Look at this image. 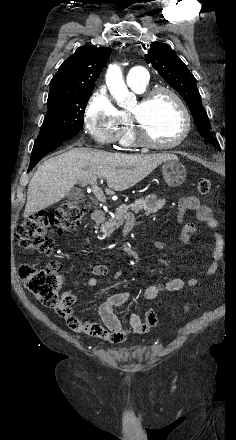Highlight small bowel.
I'll list each match as a JSON object with an SVG mask.
<instances>
[{
  "label": "small bowel",
  "instance_id": "1",
  "mask_svg": "<svg viewBox=\"0 0 236 440\" xmlns=\"http://www.w3.org/2000/svg\"><path fill=\"white\" fill-rule=\"evenodd\" d=\"M178 210L180 220L187 211H194L199 221L205 223L210 229H216L218 222L213 217L210 208L194 196L181 197L178 201ZM196 233V228L193 223H184L179 239L183 244H188L191 238ZM215 247L213 251L214 258L218 259L222 254V240L221 235L215 234ZM84 243H90L89 238H84ZM157 248L164 250L168 247V242H157ZM218 268L217 262H214L209 270L208 275H213ZM107 273V267L104 265H95L92 269L93 276L86 281L89 288H94L101 284L100 276ZM122 276L121 271H116L113 275L114 279H119ZM200 283L197 277L185 280L181 278H174L165 282H159L148 286L145 289L144 296L147 300H155L163 292H176L183 290L186 287H193ZM68 299L70 305L67 309V314L73 318L78 319L71 309V305L77 300L74 293L67 291L63 294ZM129 298V293L118 292L110 295L98 307V313L102 321V325L95 321H69L68 329L76 330L88 336H96L100 339L111 343H121L130 334H144L148 333L150 327L148 324L142 322L141 316L137 313H132L128 319V325L124 326L119 317L114 313V308L122 306Z\"/></svg>",
  "mask_w": 236,
  "mask_h": 440
}]
</instances>
